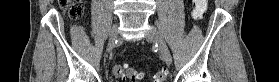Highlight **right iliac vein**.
<instances>
[{
	"label": "right iliac vein",
	"instance_id": "1",
	"mask_svg": "<svg viewBox=\"0 0 279 82\" xmlns=\"http://www.w3.org/2000/svg\"><path fill=\"white\" fill-rule=\"evenodd\" d=\"M117 37H118L117 26H113L109 34L108 50H110L114 46Z\"/></svg>",
	"mask_w": 279,
	"mask_h": 82
}]
</instances>
